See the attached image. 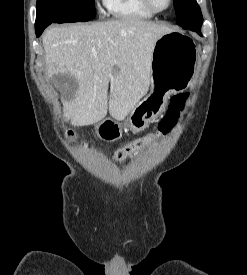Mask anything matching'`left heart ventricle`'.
I'll list each match as a JSON object with an SVG mask.
<instances>
[{
  "label": "left heart ventricle",
  "instance_id": "left-heart-ventricle-1",
  "mask_svg": "<svg viewBox=\"0 0 247 275\" xmlns=\"http://www.w3.org/2000/svg\"><path fill=\"white\" fill-rule=\"evenodd\" d=\"M152 2L158 9H164L168 5V0H152Z\"/></svg>",
  "mask_w": 247,
  "mask_h": 275
}]
</instances>
